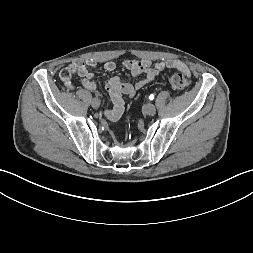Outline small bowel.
Wrapping results in <instances>:
<instances>
[{
	"instance_id": "obj_1",
	"label": "small bowel",
	"mask_w": 253,
	"mask_h": 253,
	"mask_svg": "<svg viewBox=\"0 0 253 253\" xmlns=\"http://www.w3.org/2000/svg\"><path fill=\"white\" fill-rule=\"evenodd\" d=\"M121 65L128 69L134 77L143 78L135 82H125L119 77H111L104 86L108 91L113 103V107L105 111V116L109 120H117L124 112L125 99L132 98L137 90L152 82L165 69H177L182 72H188V66L178 59H168L158 62L149 60L126 59ZM96 66V61L92 59H76L70 63L68 68L82 77V85L87 90H95L97 83L94 81V74L89 71ZM117 68V63L108 61L104 64L106 72H113Z\"/></svg>"
}]
</instances>
